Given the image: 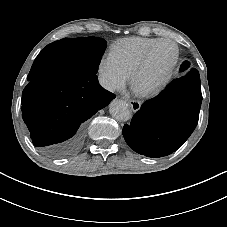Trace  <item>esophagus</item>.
Wrapping results in <instances>:
<instances>
[{
	"label": "esophagus",
	"mask_w": 227,
	"mask_h": 227,
	"mask_svg": "<svg viewBox=\"0 0 227 227\" xmlns=\"http://www.w3.org/2000/svg\"><path fill=\"white\" fill-rule=\"evenodd\" d=\"M126 101L130 105L133 112L138 111L141 107V103L137 100L127 99Z\"/></svg>",
	"instance_id": "1"
}]
</instances>
